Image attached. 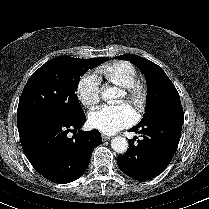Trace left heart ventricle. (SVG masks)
I'll use <instances>...</instances> for the list:
<instances>
[{
  "label": "left heart ventricle",
  "mask_w": 209,
  "mask_h": 209,
  "mask_svg": "<svg viewBox=\"0 0 209 209\" xmlns=\"http://www.w3.org/2000/svg\"><path fill=\"white\" fill-rule=\"evenodd\" d=\"M127 98H126V95L125 94H123V96H122V100H126Z\"/></svg>",
  "instance_id": "left-heart-ventricle-1"
}]
</instances>
